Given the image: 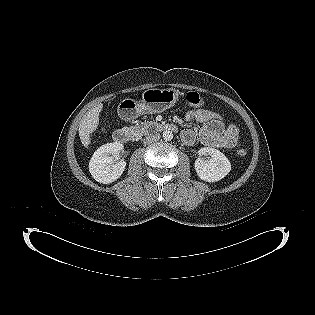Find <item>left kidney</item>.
I'll list each match as a JSON object with an SVG mask.
<instances>
[{"label":"left kidney","instance_id":"5707ae66","mask_svg":"<svg viewBox=\"0 0 315 315\" xmlns=\"http://www.w3.org/2000/svg\"><path fill=\"white\" fill-rule=\"evenodd\" d=\"M199 158L195 161V170L198 177L206 182H217L223 179L231 170L228 158L219 150L203 147L198 151ZM209 155L210 159L204 160L201 156Z\"/></svg>","mask_w":315,"mask_h":315}]
</instances>
